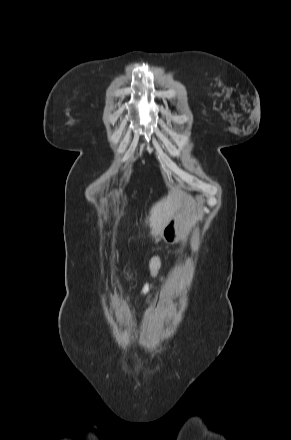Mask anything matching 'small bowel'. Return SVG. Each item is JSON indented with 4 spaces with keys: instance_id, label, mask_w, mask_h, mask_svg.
I'll return each mask as SVG.
<instances>
[{
    "instance_id": "1",
    "label": "small bowel",
    "mask_w": 291,
    "mask_h": 440,
    "mask_svg": "<svg viewBox=\"0 0 291 440\" xmlns=\"http://www.w3.org/2000/svg\"><path fill=\"white\" fill-rule=\"evenodd\" d=\"M160 264H161V261H160V258L158 256H154L151 259L150 268H151V272L153 274L157 273V271H158V269L160 267ZM139 296L145 298L144 305H146V306L150 305L153 302V300H154V294L152 292V287H150L148 285L144 286L141 289V291L139 292Z\"/></svg>"
}]
</instances>
